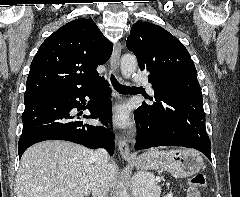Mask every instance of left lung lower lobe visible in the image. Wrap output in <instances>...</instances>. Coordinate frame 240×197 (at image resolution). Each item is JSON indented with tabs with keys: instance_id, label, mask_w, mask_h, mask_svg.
Masks as SVG:
<instances>
[{
	"instance_id": "1",
	"label": "left lung lower lobe",
	"mask_w": 240,
	"mask_h": 197,
	"mask_svg": "<svg viewBox=\"0 0 240 197\" xmlns=\"http://www.w3.org/2000/svg\"><path fill=\"white\" fill-rule=\"evenodd\" d=\"M134 118L141 126L136 150L183 146L201 151L212 161L202 94L184 91L152 105L143 103L135 111Z\"/></svg>"
}]
</instances>
